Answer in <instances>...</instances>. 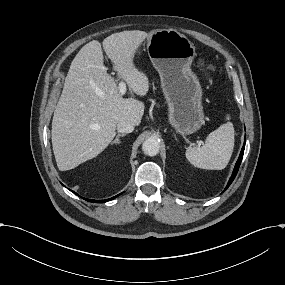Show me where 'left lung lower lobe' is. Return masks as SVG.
<instances>
[{
    "mask_svg": "<svg viewBox=\"0 0 285 285\" xmlns=\"http://www.w3.org/2000/svg\"><path fill=\"white\" fill-rule=\"evenodd\" d=\"M244 148H245V143H244V146L242 147L241 153H240L239 158H238V160L236 162V165H235V168L233 170L232 176L230 177L229 182H228L226 188L224 189V191L230 186V184L233 182L234 178L237 175L239 166H240L242 158H243Z\"/></svg>",
    "mask_w": 285,
    "mask_h": 285,
    "instance_id": "1",
    "label": "left lung lower lobe"
}]
</instances>
